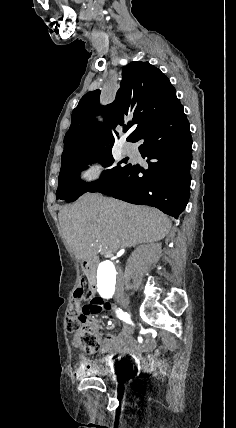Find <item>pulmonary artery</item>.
Instances as JSON below:
<instances>
[{
  "label": "pulmonary artery",
  "instance_id": "e3ab8cb5",
  "mask_svg": "<svg viewBox=\"0 0 236 428\" xmlns=\"http://www.w3.org/2000/svg\"><path fill=\"white\" fill-rule=\"evenodd\" d=\"M122 151L124 154H132L135 151V146L131 143H123Z\"/></svg>",
  "mask_w": 236,
  "mask_h": 428
}]
</instances>
